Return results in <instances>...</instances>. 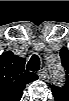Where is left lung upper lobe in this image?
I'll return each mask as SVG.
<instances>
[{"mask_svg":"<svg viewBox=\"0 0 69 101\" xmlns=\"http://www.w3.org/2000/svg\"><path fill=\"white\" fill-rule=\"evenodd\" d=\"M52 89L54 90V89H55V87H54V86H52Z\"/></svg>","mask_w":69,"mask_h":101,"instance_id":"obj_1","label":"left lung upper lobe"}]
</instances>
